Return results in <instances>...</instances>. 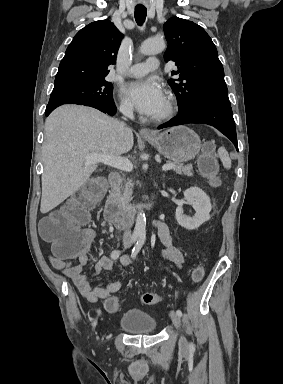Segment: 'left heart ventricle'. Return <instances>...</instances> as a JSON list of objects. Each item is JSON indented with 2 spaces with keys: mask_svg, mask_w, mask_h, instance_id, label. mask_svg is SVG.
Returning a JSON list of instances; mask_svg holds the SVG:
<instances>
[{
  "mask_svg": "<svg viewBox=\"0 0 283 384\" xmlns=\"http://www.w3.org/2000/svg\"><path fill=\"white\" fill-rule=\"evenodd\" d=\"M163 108H164V105H163V107H162V108H161V109H160L154 116L160 114V113L162 112Z\"/></svg>",
  "mask_w": 283,
  "mask_h": 384,
  "instance_id": "obj_1",
  "label": "left heart ventricle"
}]
</instances>
